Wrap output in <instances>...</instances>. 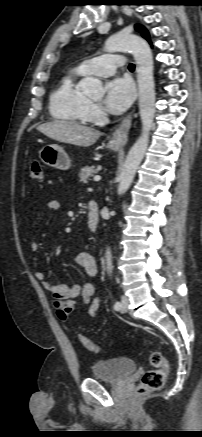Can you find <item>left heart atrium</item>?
<instances>
[{"label":"left heart atrium","instance_id":"39dd6f15","mask_svg":"<svg viewBox=\"0 0 202 437\" xmlns=\"http://www.w3.org/2000/svg\"><path fill=\"white\" fill-rule=\"evenodd\" d=\"M135 91L132 82L126 78H115L106 84L104 105L107 111L120 114L132 103Z\"/></svg>","mask_w":202,"mask_h":437}]
</instances>
